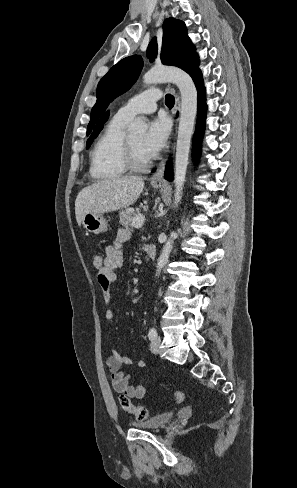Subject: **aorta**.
<instances>
[{"instance_id": "1", "label": "aorta", "mask_w": 297, "mask_h": 488, "mask_svg": "<svg viewBox=\"0 0 297 488\" xmlns=\"http://www.w3.org/2000/svg\"><path fill=\"white\" fill-rule=\"evenodd\" d=\"M143 82L146 85L159 82H172L177 85L181 95L179 128L175 154V194L174 204L178 206L182 198V191L189 161V151L195 117L197 114V90L192 78L184 71L172 67H153L144 74ZM146 122L142 117L136 118L130 123L128 129L133 133H140L146 130ZM175 232L164 244L160 257L157 261V274L165 266L173 248Z\"/></svg>"}]
</instances>
